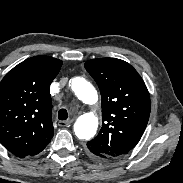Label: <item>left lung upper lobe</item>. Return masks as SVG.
Here are the masks:
<instances>
[{
	"label": "left lung upper lobe",
	"instance_id": "1",
	"mask_svg": "<svg viewBox=\"0 0 183 183\" xmlns=\"http://www.w3.org/2000/svg\"><path fill=\"white\" fill-rule=\"evenodd\" d=\"M85 68L100 89L103 120L87 148L111 158L124 155L137 145L148 123L151 105L146 85L138 72L120 59L88 60Z\"/></svg>",
	"mask_w": 183,
	"mask_h": 183
}]
</instances>
